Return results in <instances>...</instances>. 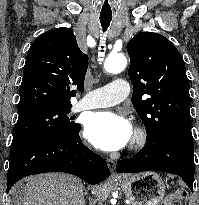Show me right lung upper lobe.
Returning a JSON list of instances; mask_svg holds the SVG:
<instances>
[{
  "mask_svg": "<svg viewBox=\"0 0 199 205\" xmlns=\"http://www.w3.org/2000/svg\"><path fill=\"white\" fill-rule=\"evenodd\" d=\"M88 56L78 47L72 28H56L41 34L27 53L20 86L18 111L37 107L71 105L83 91Z\"/></svg>",
  "mask_w": 199,
  "mask_h": 205,
  "instance_id": "right-lung-upper-lobe-1",
  "label": "right lung upper lobe"
}]
</instances>
